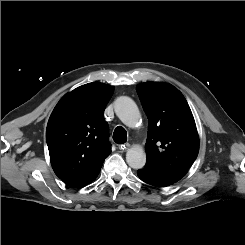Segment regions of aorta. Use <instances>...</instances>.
<instances>
[{
    "label": "aorta",
    "mask_w": 245,
    "mask_h": 245,
    "mask_svg": "<svg viewBox=\"0 0 245 245\" xmlns=\"http://www.w3.org/2000/svg\"><path fill=\"white\" fill-rule=\"evenodd\" d=\"M116 115L128 127L134 128L139 120L140 113L136 103L127 96L117 98L114 104ZM126 162L133 169H141L146 163V154L142 147L133 146L126 153Z\"/></svg>",
    "instance_id": "1"
}]
</instances>
